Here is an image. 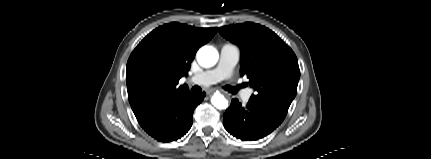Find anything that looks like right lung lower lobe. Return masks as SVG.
<instances>
[{"label":"right lung lower lobe","instance_id":"1","mask_svg":"<svg viewBox=\"0 0 431 159\" xmlns=\"http://www.w3.org/2000/svg\"><path fill=\"white\" fill-rule=\"evenodd\" d=\"M205 95V93L195 95L190 91L184 92L154 111L139 124L157 141L164 143L176 141L191 128L194 109L203 101Z\"/></svg>","mask_w":431,"mask_h":159}]
</instances>
